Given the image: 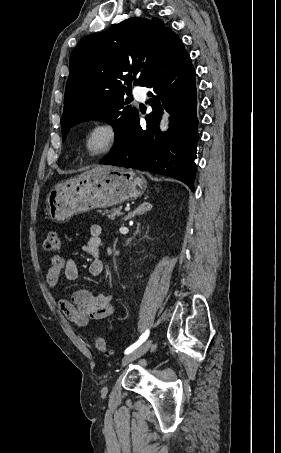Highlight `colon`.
I'll return each instance as SVG.
<instances>
[{"mask_svg":"<svg viewBox=\"0 0 281 453\" xmlns=\"http://www.w3.org/2000/svg\"><path fill=\"white\" fill-rule=\"evenodd\" d=\"M44 250L46 252H59L61 250V231L50 230L47 239L44 241ZM94 348L99 352L108 350V342L103 337H96L93 341Z\"/></svg>","mask_w":281,"mask_h":453,"instance_id":"1","label":"colon"}]
</instances>
